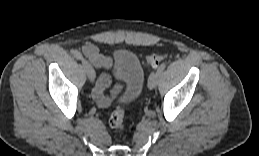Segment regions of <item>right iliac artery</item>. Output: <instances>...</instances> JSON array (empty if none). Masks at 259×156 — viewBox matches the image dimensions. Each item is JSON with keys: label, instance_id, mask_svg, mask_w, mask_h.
Wrapping results in <instances>:
<instances>
[{"label": "right iliac artery", "instance_id": "1", "mask_svg": "<svg viewBox=\"0 0 259 156\" xmlns=\"http://www.w3.org/2000/svg\"><path fill=\"white\" fill-rule=\"evenodd\" d=\"M73 55H74V57H75L76 59H78V60H83V56H82V54H81L80 52L75 51V52L73 53Z\"/></svg>", "mask_w": 259, "mask_h": 156}]
</instances>
